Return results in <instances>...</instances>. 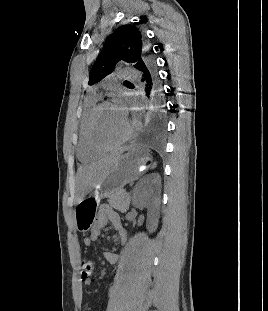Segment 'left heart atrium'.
Wrapping results in <instances>:
<instances>
[{
  "label": "left heart atrium",
  "instance_id": "left-heart-atrium-1",
  "mask_svg": "<svg viewBox=\"0 0 268 311\" xmlns=\"http://www.w3.org/2000/svg\"><path fill=\"white\" fill-rule=\"evenodd\" d=\"M113 107L124 117L126 118V107L121 98H116L113 103Z\"/></svg>",
  "mask_w": 268,
  "mask_h": 311
}]
</instances>
